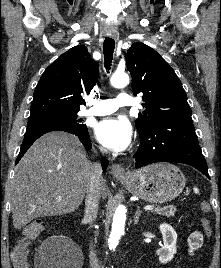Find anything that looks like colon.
I'll list each match as a JSON object with an SVG mask.
<instances>
[{
	"mask_svg": "<svg viewBox=\"0 0 221 268\" xmlns=\"http://www.w3.org/2000/svg\"><path fill=\"white\" fill-rule=\"evenodd\" d=\"M211 208L207 202L201 204V211L204 216L201 219V225L203 227L204 233L207 237H210L212 234L211 222L206 216L210 212ZM45 227V223L42 221H35L26 225L22 230L21 239L18 241L15 246L12 258L15 265V268H30V265L27 260V246L29 240L37 237Z\"/></svg>",
	"mask_w": 221,
	"mask_h": 268,
	"instance_id": "colon-1",
	"label": "colon"
}]
</instances>
